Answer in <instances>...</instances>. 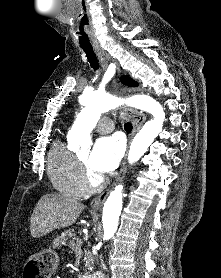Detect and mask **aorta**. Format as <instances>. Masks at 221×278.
Wrapping results in <instances>:
<instances>
[{
  "label": "aorta",
  "mask_w": 221,
  "mask_h": 278,
  "mask_svg": "<svg viewBox=\"0 0 221 278\" xmlns=\"http://www.w3.org/2000/svg\"><path fill=\"white\" fill-rule=\"evenodd\" d=\"M129 104L150 113L153 119L146 122L134 137L128 153L129 163L137 162L161 132L165 114L163 107L149 96H138L129 100ZM116 106L115 99L105 93L91 92L84 97V108L78 114L70 132V142L80 146V150L88 149L91 143L90 133L96 126L100 116ZM123 185H117L110 192L104 208L102 223L104 240H109L118 228L122 210Z\"/></svg>",
  "instance_id": "1"
}]
</instances>
